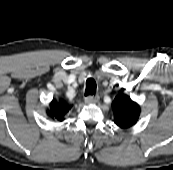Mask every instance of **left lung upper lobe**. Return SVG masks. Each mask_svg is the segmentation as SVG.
<instances>
[{"instance_id":"left-lung-upper-lobe-1","label":"left lung upper lobe","mask_w":173,"mask_h":170,"mask_svg":"<svg viewBox=\"0 0 173 170\" xmlns=\"http://www.w3.org/2000/svg\"><path fill=\"white\" fill-rule=\"evenodd\" d=\"M113 112L116 125L126 129L137 122L140 115V107L129 96L120 94L113 101Z\"/></svg>"}]
</instances>
